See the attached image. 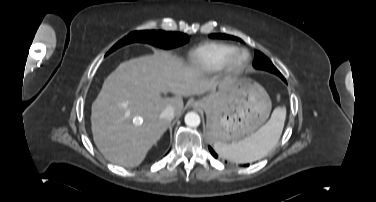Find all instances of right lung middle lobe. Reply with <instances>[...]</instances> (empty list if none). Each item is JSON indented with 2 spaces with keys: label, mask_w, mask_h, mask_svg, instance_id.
Here are the masks:
<instances>
[{
  "label": "right lung middle lobe",
  "mask_w": 376,
  "mask_h": 202,
  "mask_svg": "<svg viewBox=\"0 0 376 202\" xmlns=\"http://www.w3.org/2000/svg\"><path fill=\"white\" fill-rule=\"evenodd\" d=\"M189 37L184 33L166 32V31H135L128 34L122 40L117 42L106 55L115 49L132 42H145L162 48H174L187 43Z\"/></svg>",
  "instance_id": "right-lung-middle-lobe-1"
}]
</instances>
